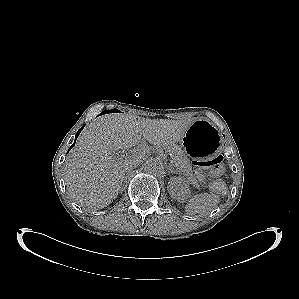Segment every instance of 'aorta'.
I'll return each instance as SVG.
<instances>
[{
  "mask_svg": "<svg viewBox=\"0 0 299 299\" xmlns=\"http://www.w3.org/2000/svg\"><path fill=\"white\" fill-rule=\"evenodd\" d=\"M144 170L151 175H159L164 171L163 163L158 159H151L144 164Z\"/></svg>",
  "mask_w": 299,
  "mask_h": 299,
  "instance_id": "762f6f07",
  "label": "aorta"
}]
</instances>
